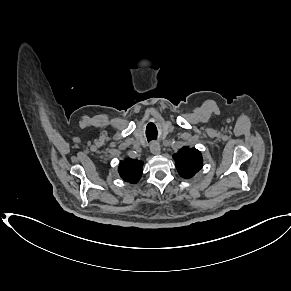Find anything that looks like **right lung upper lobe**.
Instances as JSON below:
<instances>
[{
    "label": "right lung upper lobe",
    "mask_w": 291,
    "mask_h": 291,
    "mask_svg": "<svg viewBox=\"0 0 291 291\" xmlns=\"http://www.w3.org/2000/svg\"><path fill=\"white\" fill-rule=\"evenodd\" d=\"M142 167V161L125 159L119 164V174L127 182L137 183L142 175Z\"/></svg>",
    "instance_id": "right-lung-upper-lobe-1"
}]
</instances>
